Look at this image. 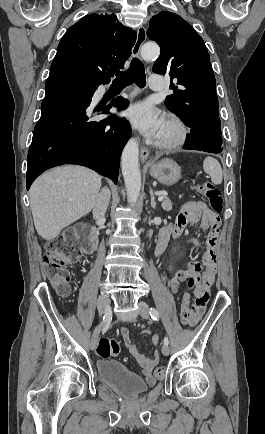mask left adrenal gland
<instances>
[{
    "instance_id": "obj_1",
    "label": "left adrenal gland",
    "mask_w": 265,
    "mask_h": 434,
    "mask_svg": "<svg viewBox=\"0 0 265 434\" xmlns=\"http://www.w3.org/2000/svg\"><path fill=\"white\" fill-rule=\"evenodd\" d=\"M150 196H151V206H152V208H156V202H155L152 188H150Z\"/></svg>"
}]
</instances>
